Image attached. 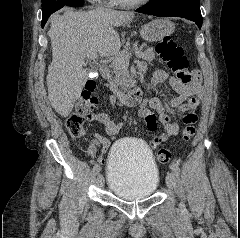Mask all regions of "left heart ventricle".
Returning <instances> with one entry per match:
<instances>
[{"label": "left heart ventricle", "mask_w": 240, "mask_h": 238, "mask_svg": "<svg viewBox=\"0 0 240 238\" xmlns=\"http://www.w3.org/2000/svg\"><path fill=\"white\" fill-rule=\"evenodd\" d=\"M123 1H137V0H123Z\"/></svg>", "instance_id": "left-heart-ventricle-1"}]
</instances>
